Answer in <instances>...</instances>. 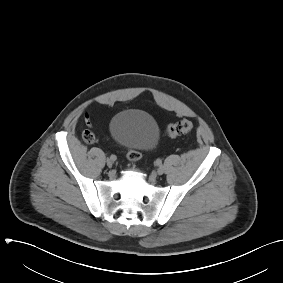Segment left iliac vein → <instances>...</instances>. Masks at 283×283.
<instances>
[{
  "label": "left iliac vein",
  "instance_id": "left-iliac-vein-1",
  "mask_svg": "<svg viewBox=\"0 0 283 283\" xmlns=\"http://www.w3.org/2000/svg\"><path fill=\"white\" fill-rule=\"evenodd\" d=\"M165 169L163 166H159L158 169H157V174L158 175H162L164 173Z\"/></svg>",
  "mask_w": 283,
  "mask_h": 283
}]
</instances>
